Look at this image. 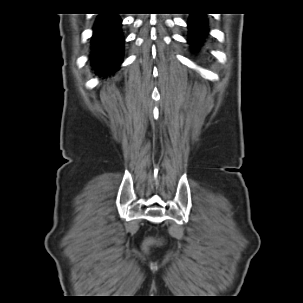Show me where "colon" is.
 <instances>
[{"label": "colon", "mask_w": 303, "mask_h": 303, "mask_svg": "<svg viewBox=\"0 0 303 303\" xmlns=\"http://www.w3.org/2000/svg\"><path fill=\"white\" fill-rule=\"evenodd\" d=\"M162 243H163V241L161 239L151 238V239L147 240L143 249L145 252H148L151 247L160 246V245H162Z\"/></svg>", "instance_id": "colon-1"}]
</instances>
